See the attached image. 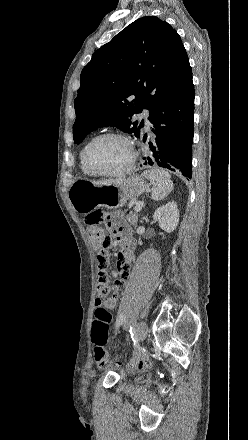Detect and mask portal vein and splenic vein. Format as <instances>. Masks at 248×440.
<instances>
[{
  "mask_svg": "<svg viewBox=\"0 0 248 440\" xmlns=\"http://www.w3.org/2000/svg\"><path fill=\"white\" fill-rule=\"evenodd\" d=\"M142 204L141 203H136V205H135V207H134V210L136 211V212H140L141 210H142Z\"/></svg>",
  "mask_w": 248,
  "mask_h": 440,
  "instance_id": "obj_1",
  "label": "portal vein and splenic vein"
}]
</instances>
